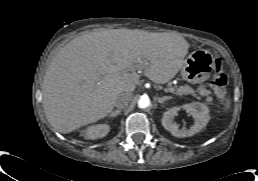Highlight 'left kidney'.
Listing matches in <instances>:
<instances>
[{"instance_id":"left-kidney-1","label":"left kidney","mask_w":258,"mask_h":181,"mask_svg":"<svg viewBox=\"0 0 258 181\" xmlns=\"http://www.w3.org/2000/svg\"><path fill=\"white\" fill-rule=\"evenodd\" d=\"M184 109L192 115L194 118V125L190 129H179L173 122V118L177 115L180 109ZM209 110L205 104L202 103H190L185 104L181 107H172L163 114L162 125L168 130L173 136L184 138L192 136L200 132L209 122Z\"/></svg>"}]
</instances>
